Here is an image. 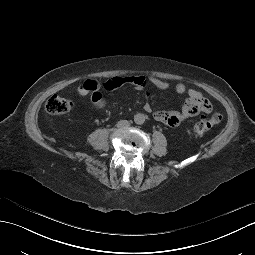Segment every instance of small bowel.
Returning <instances> with one entry per match:
<instances>
[{
  "label": "small bowel",
  "mask_w": 255,
  "mask_h": 255,
  "mask_svg": "<svg viewBox=\"0 0 255 255\" xmlns=\"http://www.w3.org/2000/svg\"><path fill=\"white\" fill-rule=\"evenodd\" d=\"M124 86H132L137 90H147L149 87L166 90L170 87V83L156 77L146 78L141 75L116 76L104 83L94 79L86 80L78 86L77 91L82 96H89L96 107L104 108L106 102L101 95V90H116ZM175 91L180 95H186L181 111H153L148 103L143 105V109L147 113H152L156 121L169 127H177L185 120L197 116L199 113H210L212 111L210 101L197 90L189 89L185 84L178 83L175 86Z\"/></svg>",
  "instance_id": "1"
}]
</instances>
